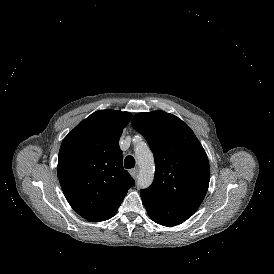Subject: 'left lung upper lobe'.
I'll list each match as a JSON object with an SVG mask.
<instances>
[{
	"label": "left lung upper lobe",
	"instance_id": "1",
	"mask_svg": "<svg viewBox=\"0 0 274 274\" xmlns=\"http://www.w3.org/2000/svg\"><path fill=\"white\" fill-rule=\"evenodd\" d=\"M131 124L146 138L155 159L154 181L144 190L195 212L207 193L210 168L193 131L181 119L163 111L136 114Z\"/></svg>",
	"mask_w": 274,
	"mask_h": 274
}]
</instances>
